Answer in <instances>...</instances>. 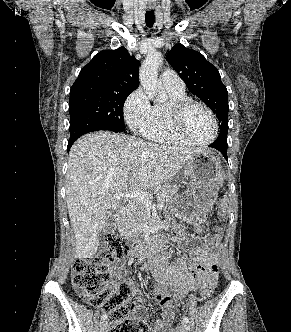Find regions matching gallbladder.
<instances>
[{
	"instance_id": "bac80fb5",
	"label": "gallbladder",
	"mask_w": 291,
	"mask_h": 332,
	"mask_svg": "<svg viewBox=\"0 0 291 332\" xmlns=\"http://www.w3.org/2000/svg\"><path fill=\"white\" fill-rule=\"evenodd\" d=\"M115 230H116L115 212H111V214L108 215V220L104 228V233L106 234L114 233Z\"/></svg>"
}]
</instances>
